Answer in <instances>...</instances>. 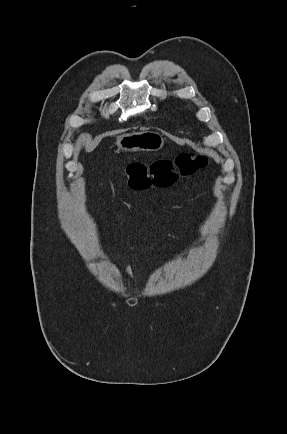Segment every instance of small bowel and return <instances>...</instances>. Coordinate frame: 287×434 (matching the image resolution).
<instances>
[{
    "label": "small bowel",
    "mask_w": 287,
    "mask_h": 434,
    "mask_svg": "<svg viewBox=\"0 0 287 434\" xmlns=\"http://www.w3.org/2000/svg\"><path fill=\"white\" fill-rule=\"evenodd\" d=\"M135 248H136V245H132L130 247V250L133 251V250H135ZM124 277H125V281L128 285H130L133 282V270H132V267L130 265H128L125 268Z\"/></svg>",
    "instance_id": "c3829d8e"
}]
</instances>
